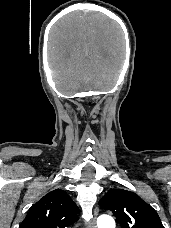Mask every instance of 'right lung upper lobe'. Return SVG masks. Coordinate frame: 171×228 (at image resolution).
Instances as JSON below:
<instances>
[{"instance_id":"right-lung-upper-lobe-1","label":"right lung upper lobe","mask_w":171,"mask_h":228,"mask_svg":"<svg viewBox=\"0 0 171 228\" xmlns=\"http://www.w3.org/2000/svg\"><path fill=\"white\" fill-rule=\"evenodd\" d=\"M78 213L69 195L56 189L31 207L19 228H68L78 220Z\"/></svg>"}]
</instances>
